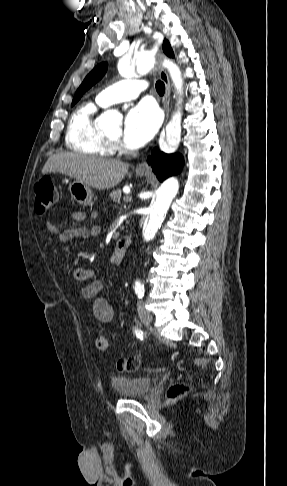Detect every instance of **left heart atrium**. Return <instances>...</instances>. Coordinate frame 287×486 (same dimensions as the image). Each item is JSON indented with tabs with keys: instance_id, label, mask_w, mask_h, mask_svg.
<instances>
[{
	"instance_id": "1",
	"label": "left heart atrium",
	"mask_w": 287,
	"mask_h": 486,
	"mask_svg": "<svg viewBox=\"0 0 287 486\" xmlns=\"http://www.w3.org/2000/svg\"><path fill=\"white\" fill-rule=\"evenodd\" d=\"M160 114L155 106L142 102L132 108L125 117L123 144L130 149L144 146L160 126Z\"/></svg>"
}]
</instances>
